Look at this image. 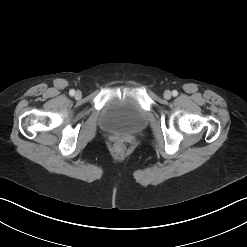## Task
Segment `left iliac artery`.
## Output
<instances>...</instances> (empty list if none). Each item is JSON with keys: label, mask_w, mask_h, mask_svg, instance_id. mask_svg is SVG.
Returning <instances> with one entry per match:
<instances>
[{"label": "left iliac artery", "mask_w": 247, "mask_h": 247, "mask_svg": "<svg viewBox=\"0 0 247 247\" xmlns=\"http://www.w3.org/2000/svg\"><path fill=\"white\" fill-rule=\"evenodd\" d=\"M172 94H173V96H177V95H178V92H177L176 90H174V91L172 92Z\"/></svg>", "instance_id": "obj_1"}]
</instances>
